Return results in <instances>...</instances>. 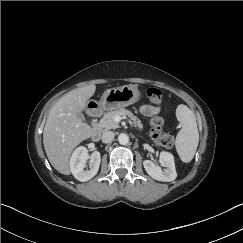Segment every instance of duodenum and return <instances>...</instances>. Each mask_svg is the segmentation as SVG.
<instances>
[{"label":"duodenum","mask_w":243,"mask_h":243,"mask_svg":"<svg viewBox=\"0 0 243 243\" xmlns=\"http://www.w3.org/2000/svg\"><path fill=\"white\" fill-rule=\"evenodd\" d=\"M101 113H102V109H101V108H98V109L95 110V112L93 113V116L95 117V116H97V115H99V114H101ZM99 137H100L99 131H98L96 128H94L93 133H92V138H93L94 140H98Z\"/></svg>","instance_id":"obj_1"}]
</instances>
